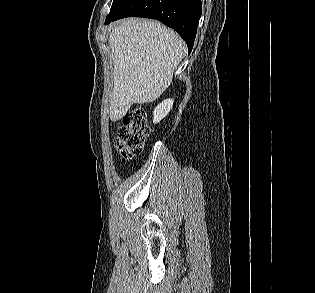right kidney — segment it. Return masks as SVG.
<instances>
[{
    "instance_id": "1",
    "label": "right kidney",
    "mask_w": 315,
    "mask_h": 293,
    "mask_svg": "<svg viewBox=\"0 0 315 293\" xmlns=\"http://www.w3.org/2000/svg\"><path fill=\"white\" fill-rule=\"evenodd\" d=\"M174 100L173 99H166L162 103H160L153 112V123L160 122L163 118H165L170 110L172 109Z\"/></svg>"
}]
</instances>
